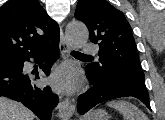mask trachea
<instances>
[{
	"mask_svg": "<svg viewBox=\"0 0 165 120\" xmlns=\"http://www.w3.org/2000/svg\"><path fill=\"white\" fill-rule=\"evenodd\" d=\"M72 54H74V55H81V56H88V55H85V54H83L81 52H78V51H74V52H72Z\"/></svg>",
	"mask_w": 165,
	"mask_h": 120,
	"instance_id": "trachea-1",
	"label": "trachea"
}]
</instances>
